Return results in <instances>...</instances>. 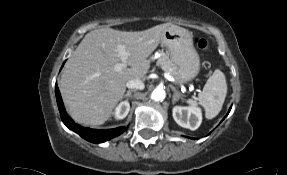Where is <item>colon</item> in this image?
<instances>
[{"mask_svg":"<svg viewBox=\"0 0 287 175\" xmlns=\"http://www.w3.org/2000/svg\"><path fill=\"white\" fill-rule=\"evenodd\" d=\"M195 43H196V46L200 49V50H202V51H207L208 50V42H207V40L206 39H204V38H197L196 39V41H195Z\"/></svg>","mask_w":287,"mask_h":175,"instance_id":"1","label":"colon"}]
</instances>
